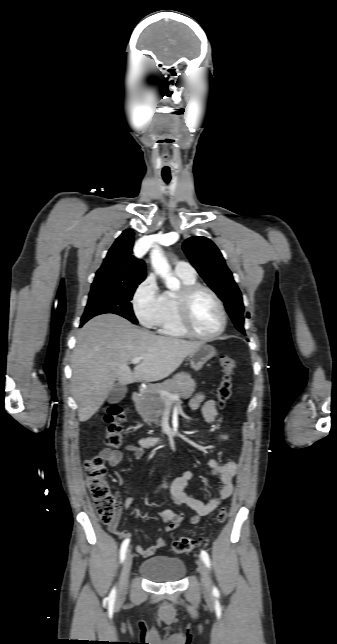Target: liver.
<instances>
[{"label":"liver","mask_w":337,"mask_h":644,"mask_svg":"<svg viewBox=\"0 0 337 644\" xmlns=\"http://www.w3.org/2000/svg\"><path fill=\"white\" fill-rule=\"evenodd\" d=\"M201 344L155 335L114 314L92 318L79 330L71 358L79 421L99 410L116 380L120 385L162 380ZM136 357L142 360L131 371L128 364Z\"/></svg>","instance_id":"liver-1"}]
</instances>
